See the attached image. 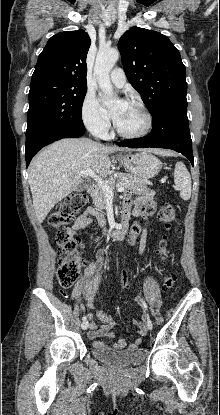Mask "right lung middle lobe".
Listing matches in <instances>:
<instances>
[{
  "mask_svg": "<svg viewBox=\"0 0 220 415\" xmlns=\"http://www.w3.org/2000/svg\"><path fill=\"white\" fill-rule=\"evenodd\" d=\"M86 92L87 85L54 79L31 81L26 144L45 132L83 128L81 110Z\"/></svg>",
  "mask_w": 220,
  "mask_h": 415,
  "instance_id": "right-lung-middle-lobe-1",
  "label": "right lung middle lobe"
}]
</instances>
